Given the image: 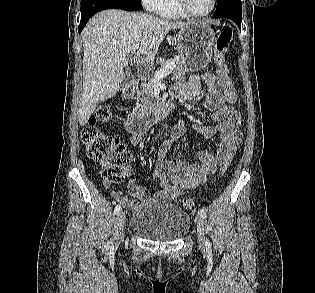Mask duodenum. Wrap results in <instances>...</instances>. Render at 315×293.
I'll return each instance as SVG.
<instances>
[{
	"instance_id": "410a0bca",
	"label": "duodenum",
	"mask_w": 315,
	"mask_h": 293,
	"mask_svg": "<svg viewBox=\"0 0 315 293\" xmlns=\"http://www.w3.org/2000/svg\"><path fill=\"white\" fill-rule=\"evenodd\" d=\"M137 89L136 82L127 84L123 89L125 98L132 97ZM174 107V100L160 101L149 107L145 112L131 115L126 120V128L131 133H142L146 131L154 122L164 118Z\"/></svg>"
}]
</instances>
